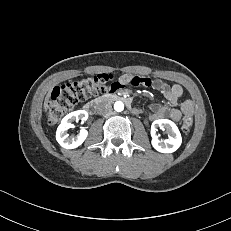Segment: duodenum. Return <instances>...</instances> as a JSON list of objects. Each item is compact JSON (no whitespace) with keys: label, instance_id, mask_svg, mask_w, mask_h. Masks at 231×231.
I'll list each match as a JSON object with an SVG mask.
<instances>
[{"label":"duodenum","instance_id":"duodenum-1","mask_svg":"<svg viewBox=\"0 0 231 231\" xmlns=\"http://www.w3.org/2000/svg\"><path fill=\"white\" fill-rule=\"evenodd\" d=\"M106 101H122L124 102L125 104L131 106L132 104V99L128 96H125V95H122V94H112V93H109V94H105L103 96H101L100 98L96 99V100H93L89 103H87L85 106H84V110L90 114V115H93L98 106L103 103V102H106Z\"/></svg>","mask_w":231,"mask_h":231}]
</instances>
